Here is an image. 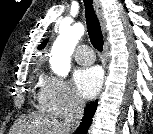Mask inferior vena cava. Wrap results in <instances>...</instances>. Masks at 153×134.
Wrapping results in <instances>:
<instances>
[{"mask_svg": "<svg viewBox=\"0 0 153 134\" xmlns=\"http://www.w3.org/2000/svg\"><path fill=\"white\" fill-rule=\"evenodd\" d=\"M84 105L85 102L81 98H74L70 112L62 124L64 134L72 133L77 129L83 117Z\"/></svg>", "mask_w": 153, "mask_h": 134, "instance_id": "obj_1", "label": "inferior vena cava"}]
</instances>
